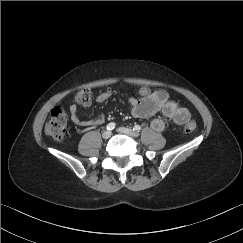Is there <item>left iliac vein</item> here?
<instances>
[{
    "instance_id": "left-iliac-vein-1",
    "label": "left iliac vein",
    "mask_w": 243,
    "mask_h": 243,
    "mask_svg": "<svg viewBox=\"0 0 243 243\" xmlns=\"http://www.w3.org/2000/svg\"><path fill=\"white\" fill-rule=\"evenodd\" d=\"M119 132L124 133L131 137H138V133L131 128L121 127L118 129Z\"/></svg>"
}]
</instances>
